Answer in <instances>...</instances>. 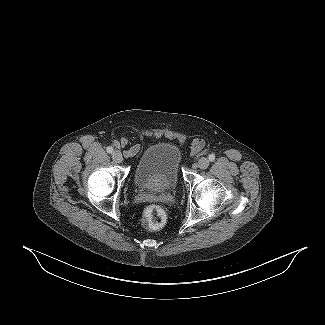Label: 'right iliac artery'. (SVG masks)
<instances>
[{
    "label": "right iliac artery",
    "mask_w": 325,
    "mask_h": 325,
    "mask_svg": "<svg viewBox=\"0 0 325 325\" xmlns=\"http://www.w3.org/2000/svg\"><path fill=\"white\" fill-rule=\"evenodd\" d=\"M106 150H107L108 153H112L113 152V148L110 147V146H108Z\"/></svg>",
    "instance_id": "1"
}]
</instances>
